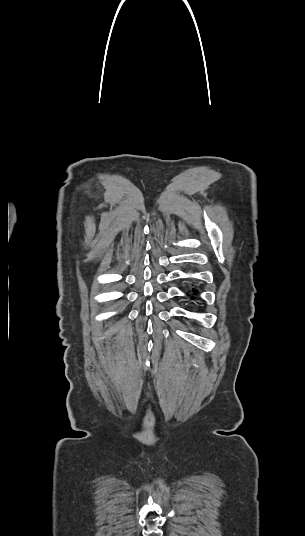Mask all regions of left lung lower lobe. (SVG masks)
<instances>
[{
    "instance_id": "obj_1",
    "label": "left lung lower lobe",
    "mask_w": 305,
    "mask_h": 536,
    "mask_svg": "<svg viewBox=\"0 0 305 536\" xmlns=\"http://www.w3.org/2000/svg\"><path fill=\"white\" fill-rule=\"evenodd\" d=\"M193 293L196 294L197 293V290L193 289ZM193 299V298H192Z\"/></svg>"
}]
</instances>
